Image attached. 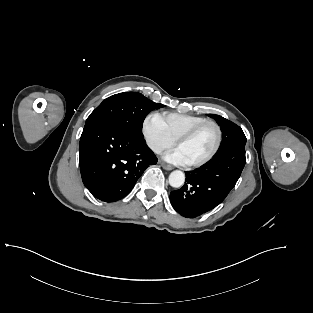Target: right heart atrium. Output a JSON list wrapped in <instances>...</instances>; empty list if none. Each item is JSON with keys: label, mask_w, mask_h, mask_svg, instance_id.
Listing matches in <instances>:
<instances>
[{"label": "right heart atrium", "mask_w": 313, "mask_h": 313, "mask_svg": "<svg viewBox=\"0 0 313 313\" xmlns=\"http://www.w3.org/2000/svg\"><path fill=\"white\" fill-rule=\"evenodd\" d=\"M142 133L147 146L156 154L172 147L175 142L158 113L149 114L144 119Z\"/></svg>", "instance_id": "obj_1"}]
</instances>
